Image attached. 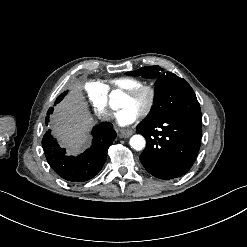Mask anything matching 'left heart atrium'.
<instances>
[{
  "mask_svg": "<svg viewBox=\"0 0 247 247\" xmlns=\"http://www.w3.org/2000/svg\"><path fill=\"white\" fill-rule=\"evenodd\" d=\"M142 109L136 105H128L125 107L121 112L116 115V122L120 126H128L136 121L141 117Z\"/></svg>",
  "mask_w": 247,
  "mask_h": 247,
  "instance_id": "39dd6f15",
  "label": "left heart atrium"
}]
</instances>
